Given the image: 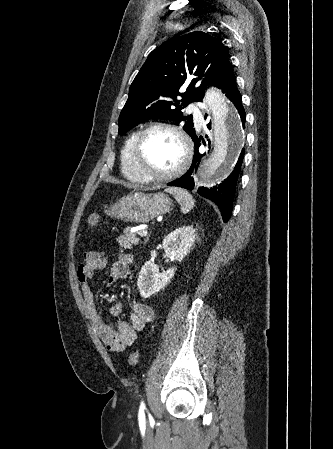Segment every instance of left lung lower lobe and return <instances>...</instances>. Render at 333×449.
I'll use <instances>...</instances> for the list:
<instances>
[{"label": "left lung lower lobe", "mask_w": 333, "mask_h": 449, "mask_svg": "<svg viewBox=\"0 0 333 449\" xmlns=\"http://www.w3.org/2000/svg\"><path fill=\"white\" fill-rule=\"evenodd\" d=\"M224 93H226V96L230 99V101L233 102V104L236 106L239 115L242 120V124L245 123V111L242 106L241 102V95L238 92V89L236 87V81H235V75L234 73H231L227 79L223 82L221 88ZM206 118V116H205ZM208 129H211V123L207 125ZM192 140L195 144V155L193 157V163L190 167V169L182 175L180 178L168 183L169 186H178L182 188H186L189 190H192L194 188V179L192 177L194 169H197V166L203 156L199 152V147L201 145V138H198L195 135L191 136ZM202 142L204 143V140L202 139ZM243 154L244 149L242 150L239 159L236 163V166L234 167V171L230 174V176L225 179L221 184L218 186H214L211 189H208L206 187H199L198 193L213 201L217 206L220 208L223 221L227 222L231 216L232 213V204L234 200V194L236 190V184L237 179L239 176V172L241 169L242 161H243Z\"/></svg>", "instance_id": "0a47b994"}]
</instances>
